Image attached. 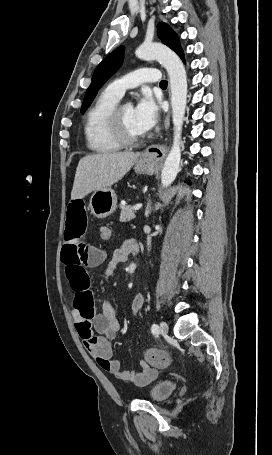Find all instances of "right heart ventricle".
I'll return each instance as SVG.
<instances>
[{
    "label": "right heart ventricle",
    "instance_id": "1",
    "mask_svg": "<svg viewBox=\"0 0 272 455\" xmlns=\"http://www.w3.org/2000/svg\"><path fill=\"white\" fill-rule=\"evenodd\" d=\"M119 100L120 97L106 89L88 110L84 123V135L90 151L98 154H109L122 148L110 135L107 124L108 115Z\"/></svg>",
    "mask_w": 272,
    "mask_h": 455
}]
</instances>
